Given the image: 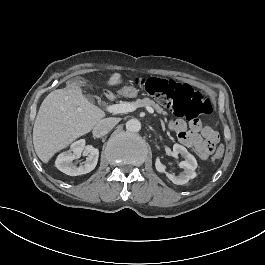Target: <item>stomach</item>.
<instances>
[{
  "label": "stomach",
  "mask_w": 265,
  "mask_h": 265,
  "mask_svg": "<svg viewBox=\"0 0 265 265\" xmlns=\"http://www.w3.org/2000/svg\"><path fill=\"white\" fill-rule=\"evenodd\" d=\"M121 94L126 97H136L137 90L132 86H126L122 89Z\"/></svg>",
  "instance_id": "obj_1"
}]
</instances>
